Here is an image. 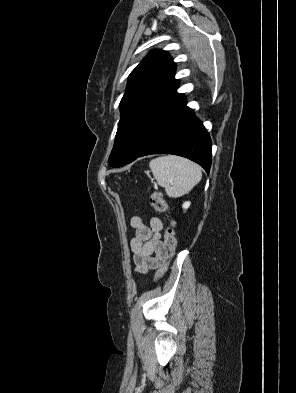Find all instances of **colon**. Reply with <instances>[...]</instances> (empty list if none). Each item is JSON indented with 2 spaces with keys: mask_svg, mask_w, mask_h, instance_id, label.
<instances>
[{
  "mask_svg": "<svg viewBox=\"0 0 296 393\" xmlns=\"http://www.w3.org/2000/svg\"><path fill=\"white\" fill-rule=\"evenodd\" d=\"M150 203L157 212L164 213L168 210V205L164 200L163 195L160 191H155L152 193L150 197ZM164 243L168 253L167 259H171L176 250L175 223L173 221L170 223L169 227L165 230ZM167 259L163 263H161V265L158 267L156 272V280H159L166 273L169 265Z\"/></svg>",
  "mask_w": 296,
  "mask_h": 393,
  "instance_id": "colon-1",
  "label": "colon"
}]
</instances>
